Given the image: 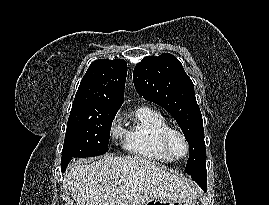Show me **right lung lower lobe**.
I'll list each match as a JSON object with an SVG mask.
<instances>
[{"label": "right lung lower lobe", "instance_id": "right-lung-lower-lobe-1", "mask_svg": "<svg viewBox=\"0 0 269 205\" xmlns=\"http://www.w3.org/2000/svg\"><path fill=\"white\" fill-rule=\"evenodd\" d=\"M65 168H66V166H65V165H61V169H62V171H64V170H65Z\"/></svg>", "mask_w": 269, "mask_h": 205}]
</instances>
